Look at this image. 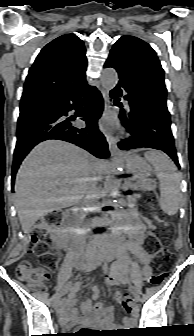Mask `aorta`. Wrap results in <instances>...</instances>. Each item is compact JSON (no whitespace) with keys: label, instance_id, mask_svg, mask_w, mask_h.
Wrapping results in <instances>:
<instances>
[{"label":"aorta","instance_id":"aorta-1","mask_svg":"<svg viewBox=\"0 0 194 336\" xmlns=\"http://www.w3.org/2000/svg\"><path fill=\"white\" fill-rule=\"evenodd\" d=\"M118 82V74L113 68L104 69L101 75L102 87L106 90L113 89ZM121 172L119 165L113 166L110 176L107 178L104 185L105 197L103 200L104 206H117V198L119 196V189L121 181L118 178Z\"/></svg>","mask_w":194,"mask_h":336}]
</instances>
